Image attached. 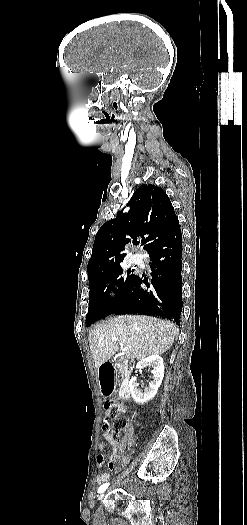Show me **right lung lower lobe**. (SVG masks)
Wrapping results in <instances>:
<instances>
[{"instance_id": "1", "label": "right lung lower lobe", "mask_w": 247, "mask_h": 525, "mask_svg": "<svg viewBox=\"0 0 247 525\" xmlns=\"http://www.w3.org/2000/svg\"><path fill=\"white\" fill-rule=\"evenodd\" d=\"M151 281L135 276L115 313L148 314L179 323L182 311V234L180 226L146 248ZM142 283L147 288H141Z\"/></svg>"}]
</instances>
